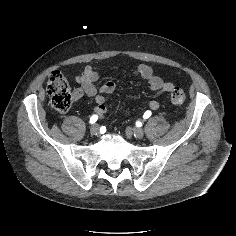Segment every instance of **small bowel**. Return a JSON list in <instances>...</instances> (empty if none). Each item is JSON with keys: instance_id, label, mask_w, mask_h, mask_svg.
Wrapping results in <instances>:
<instances>
[{"instance_id": "obj_1", "label": "small bowel", "mask_w": 236, "mask_h": 236, "mask_svg": "<svg viewBox=\"0 0 236 236\" xmlns=\"http://www.w3.org/2000/svg\"><path fill=\"white\" fill-rule=\"evenodd\" d=\"M134 75L147 82L151 93L171 92L174 89L172 83L164 81L161 77L155 75L152 68L146 64L137 65L134 69ZM99 78L100 75L95 68L91 66L85 67L83 72L75 78L79 87L74 90L73 99L79 100L83 96L93 97L97 103L95 112L102 117L106 112V96L114 91L115 83L110 80L98 91L96 84ZM147 107L151 110H157L159 103L156 100H150L147 103Z\"/></svg>"}]
</instances>
